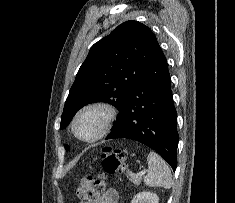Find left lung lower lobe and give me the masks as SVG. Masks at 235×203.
Here are the masks:
<instances>
[{
    "instance_id": "left-lung-lower-lobe-1",
    "label": "left lung lower lobe",
    "mask_w": 235,
    "mask_h": 203,
    "mask_svg": "<svg viewBox=\"0 0 235 203\" xmlns=\"http://www.w3.org/2000/svg\"><path fill=\"white\" fill-rule=\"evenodd\" d=\"M139 141L160 154L176 170L177 112L166 58L158 47L106 139Z\"/></svg>"
}]
</instances>
